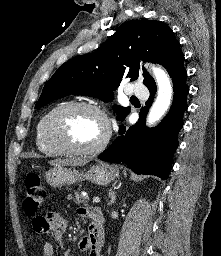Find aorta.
I'll return each mask as SVG.
<instances>
[{
    "label": "aorta",
    "mask_w": 221,
    "mask_h": 256,
    "mask_svg": "<svg viewBox=\"0 0 221 256\" xmlns=\"http://www.w3.org/2000/svg\"><path fill=\"white\" fill-rule=\"evenodd\" d=\"M152 71L157 82L158 94L147 117V124L149 126L154 125L163 117L170 106L173 95L172 84L167 73L161 68L154 66Z\"/></svg>",
    "instance_id": "1"
}]
</instances>
